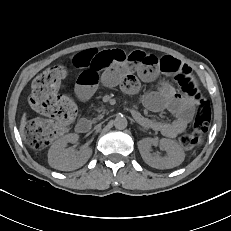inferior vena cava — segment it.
<instances>
[{"label": "inferior vena cava", "mask_w": 231, "mask_h": 231, "mask_svg": "<svg viewBox=\"0 0 231 231\" xmlns=\"http://www.w3.org/2000/svg\"><path fill=\"white\" fill-rule=\"evenodd\" d=\"M100 127H103V121H98L94 124V130H99Z\"/></svg>", "instance_id": "602c4592"}]
</instances>
